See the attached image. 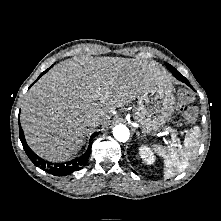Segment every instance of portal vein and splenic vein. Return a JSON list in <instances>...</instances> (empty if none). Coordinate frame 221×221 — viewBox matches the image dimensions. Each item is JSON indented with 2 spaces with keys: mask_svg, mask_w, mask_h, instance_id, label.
I'll use <instances>...</instances> for the list:
<instances>
[{
  "mask_svg": "<svg viewBox=\"0 0 221 221\" xmlns=\"http://www.w3.org/2000/svg\"><path fill=\"white\" fill-rule=\"evenodd\" d=\"M164 135V134H163ZM172 138H173V140H175L176 139V136L175 135H172Z\"/></svg>",
  "mask_w": 221,
  "mask_h": 221,
  "instance_id": "1",
  "label": "portal vein and splenic vein"
}]
</instances>
